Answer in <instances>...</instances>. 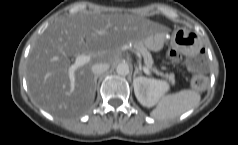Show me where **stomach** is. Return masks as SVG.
I'll list each match as a JSON object with an SVG mask.
<instances>
[{
    "label": "stomach",
    "mask_w": 238,
    "mask_h": 145,
    "mask_svg": "<svg viewBox=\"0 0 238 145\" xmlns=\"http://www.w3.org/2000/svg\"><path fill=\"white\" fill-rule=\"evenodd\" d=\"M200 44V36L189 29H178L171 40L172 48L184 55L192 54L200 47Z\"/></svg>",
    "instance_id": "stomach-1"
}]
</instances>
